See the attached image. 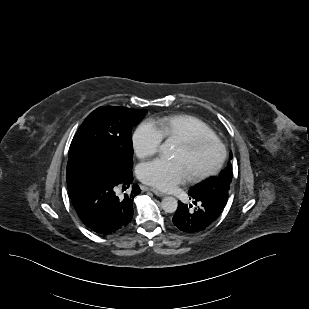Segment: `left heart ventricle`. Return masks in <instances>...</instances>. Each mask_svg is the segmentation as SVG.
Segmentation results:
<instances>
[{
    "label": "left heart ventricle",
    "instance_id": "1",
    "mask_svg": "<svg viewBox=\"0 0 309 309\" xmlns=\"http://www.w3.org/2000/svg\"><path fill=\"white\" fill-rule=\"evenodd\" d=\"M218 156L214 145H206L196 151H188L181 143L178 145L174 158L181 160L190 176L210 169Z\"/></svg>",
    "mask_w": 309,
    "mask_h": 309
}]
</instances>
